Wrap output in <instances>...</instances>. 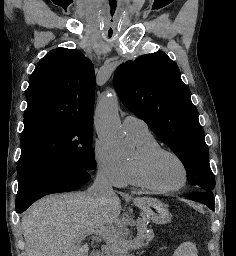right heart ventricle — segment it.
<instances>
[{
  "label": "right heart ventricle",
  "instance_id": "e07e8e85",
  "mask_svg": "<svg viewBox=\"0 0 236 256\" xmlns=\"http://www.w3.org/2000/svg\"><path fill=\"white\" fill-rule=\"evenodd\" d=\"M132 139L138 151H144L159 146L157 141L151 134L141 137H132ZM124 165L127 172V184L133 187H142L136 178L132 162H125Z\"/></svg>",
  "mask_w": 236,
  "mask_h": 256
}]
</instances>
